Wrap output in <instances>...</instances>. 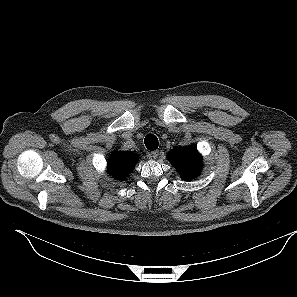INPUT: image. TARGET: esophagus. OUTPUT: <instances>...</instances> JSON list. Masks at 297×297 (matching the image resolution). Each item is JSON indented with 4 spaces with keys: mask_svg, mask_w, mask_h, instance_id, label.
I'll return each mask as SVG.
<instances>
[{
    "mask_svg": "<svg viewBox=\"0 0 297 297\" xmlns=\"http://www.w3.org/2000/svg\"><path fill=\"white\" fill-rule=\"evenodd\" d=\"M158 155H159V151H152L151 153H150V156H151V158L152 159H156L157 157H158Z\"/></svg>",
    "mask_w": 297,
    "mask_h": 297,
    "instance_id": "34e87169",
    "label": "esophagus"
}]
</instances>
